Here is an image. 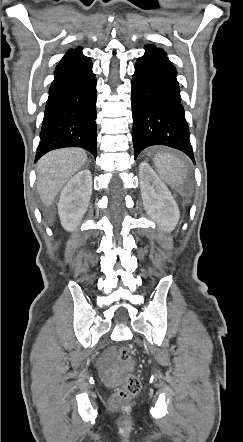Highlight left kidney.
Instances as JSON below:
<instances>
[{
    "instance_id": "5707ae66",
    "label": "left kidney",
    "mask_w": 243,
    "mask_h": 442,
    "mask_svg": "<svg viewBox=\"0 0 243 442\" xmlns=\"http://www.w3.org/2000/svg\"><path fill=\"white\" fill-rule=\"evenodd\" d=\"M140 188L144 208L161 230L171 232L178 224V205L166 185L146 162L139 166Z\"/></svg>"
}]
</instances>
